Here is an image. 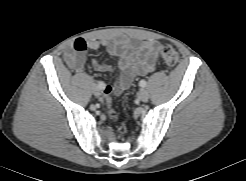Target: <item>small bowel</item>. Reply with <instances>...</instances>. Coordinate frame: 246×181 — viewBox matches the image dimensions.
Listing matches in <instances>:
<instances>
[{"label": "small bowel", "instance_id": "small-bowel-1", "mask_svg": "<svg viewBox=\"0 0 246 181\" xmlns=\"http://www.w3.org/2000/svg\"><path fill=\"white\" fill-rule=\"evenodd\" d=\"M105 49L108 54L118 59L119 78L114 87L104 84L103 91L121 94L132 81L140 75H145L156 69L161 44L154 40L134 41L125 36L114 41L85 40L77 38L70 49L65 52L64 58L68 66L76 73H82L86 62L87 50ZM93 67L102 72L112 71V66L106 63L93 61Z\"/></svg>", "mask_w": 246, "mask_h": 181}]
</instances>
